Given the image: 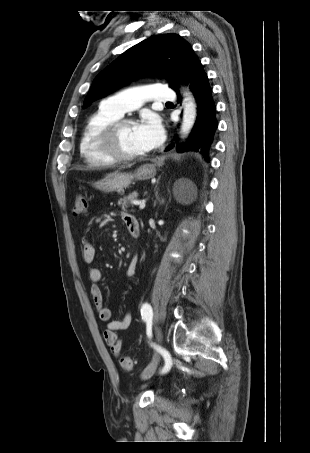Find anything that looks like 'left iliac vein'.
Returning a JSON list of instances; mask_svg holds the SVG:
<instances>
[{"label": "left iliac vein", "instance_id": "obj_1", "mask_svg": "<svg viewBox=\"0 0 310 453\" xmlns=\"http://www.w3.org/2000/svg\"><path fill=\"white\" fill-rule=\"evenodd\" d=\"M155 333H156L157 342L159 345H161L162 333H161L160 329L156 328ZM158 362H159V354L156 353L154 355L152 361L148 364V366L143 370V372L141 374V378L143 380H147L153 376V374L155 373V370L157 368Z\"/></svg>", "mask_w": 310, "mask_h": 453}]
</instances>
